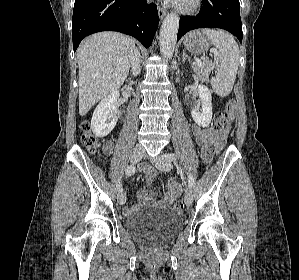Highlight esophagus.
I'll return each instance as SVG.
<instances>
[{
  "instance_id": "1",
  "label": "esophagus",
  "mask_w": 299,
  "mask_h": 280,
  "mask_svg": "<svg viewBox=\"0 0 299 280\" xmlns=\"http://www.w3.org/2000/svg\"><path fill=\"white\" fill-rule=\"evenodd\" d=\"M158 15L160 19L164 18V16L166 15V10L162 7H158Z\"/></svg>"
}]
</instances>
